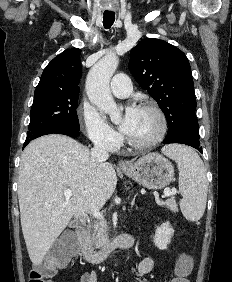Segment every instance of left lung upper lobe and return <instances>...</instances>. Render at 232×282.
Returning a JSON list of instances; mask_svg holds the SVG:
<instances>
[{"instance_id": "1", "label": "left lung upper lobe", "mask_w": 232, "mask_h": 282, "mask_svg": "<svg viewBox=\"0 0 232 282\" xmlns=\"http://www.w3.org/2000/svg\"><path fill=\"white\" fill-rule=\"evenodd\" d=\"M129 70L157 101L169 126L199 131L191 68L181 50L163 40H143L131 50Z\"/></svg>"}]
</instances>
